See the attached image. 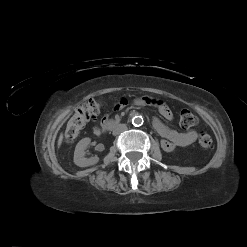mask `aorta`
<instances>
[{
	"label": "aorta",
	"instance_id": "1",
	"mask_svg": "<svg viewBox=\"0 0 247 247\" xmlns=\"http://www.w3.org/2000/svg\"><path fill=\"white\" fill-rule=\"evenodd\" d=\"M131 121L134 126H141L143 124V117L139 115L138 113L132 112L130 114Z\"/></svg>",
	"mask_w": 247,
	"mask_h": 247
}]
</instances>
